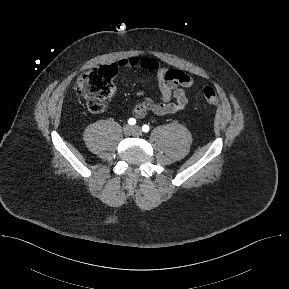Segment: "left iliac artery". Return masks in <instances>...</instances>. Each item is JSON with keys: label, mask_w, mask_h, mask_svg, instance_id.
<instances>
[{"label": "left iliac artery", "mask_w": 289, "mask_h": 289, "mask_svg": "<svg viewBox=\"0 0 289 289\" xmlns=\"http://www.w3.org/2000/svg\"><path fill=\"white\" fill-rule=\"evenodd\" d=\"M142 131L145 132V133H147V132L149 131V126L146 125V124L143 125V126H142Z\"/></svg>", "instance_id": "obj_1"}]
</instances>
